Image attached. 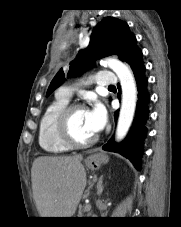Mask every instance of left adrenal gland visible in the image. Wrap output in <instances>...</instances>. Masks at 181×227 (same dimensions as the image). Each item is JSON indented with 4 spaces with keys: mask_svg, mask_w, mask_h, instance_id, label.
I'll return each instance as SVG.
<instances>
[{
    "mask_svg": "<svg viewBox=\"0 0 181 227\" xmlns=\"http://www.w3.org/2000/svg\"><path fill=\"white\" fill-rule=\"evenodd\" d=\"M103 175L100 176L98 182H97V194L100 196L103 192Z\"/></svg>",
    "mask_w": 181,
    "mask_h": 227,
    "instance_id": "obj_1",
    "label": "left adrenal gland"
}]
</instances>
